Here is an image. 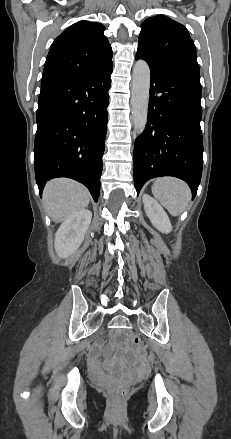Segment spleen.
I'll return each instance as SVG.
<instances>
[{"label": "spleen", "mask_w": 231, "mask_h": 439, "mask_svg": "<svg viewBox=\"0 0 231 439\" xmlns=\"http://www.w3.org/2000/svg\"><path fill=\"white\" fill-rule=\"evenodd\" d=\"M152 193L172 216H179L186 209L191 199V191L188 185L184 181L173 177L155 180Z\"/></svg>", "instance_id": "3e777b00"}]
</instances>
